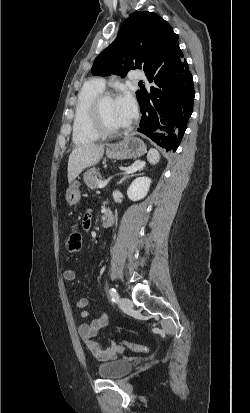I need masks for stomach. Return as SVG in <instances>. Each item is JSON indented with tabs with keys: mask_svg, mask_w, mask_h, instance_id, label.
I'll return each mask as SVG.
<instances>
[{
	"mask_svg": "<svg viewBox=\"0 0 250 413\" xmlns=\"http://www.w3.org/2000/svg\"><path fill=\"white\" fill-rule=\"evenodd\" d=\"M146 153V145L144 142L133 136L125 137L120 143L111 145L106 155L111 159H136ZM79 182L70 183L66 192V201L70 206L76 205L81 198L79 190Z\"/></svg>",
	"mask_w": 250,
	"mask_h": 413,
	"instance_id": "obj_1",
	"label": "stomach"
}]
</instances>
